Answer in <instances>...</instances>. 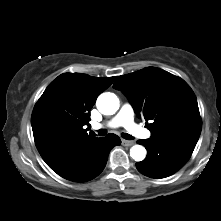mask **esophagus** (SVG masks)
Listing matches in <instances>:
<instances>
[{
  "label": "esophagus",
  "mask_w": 221,
  "mask_h": 221,
  "mask_svg": "<svg viewBox=\"0 0 221 221\" xmlns=\"http://www.w3.org/2000/svg\"><path fill=\"white\" fill-rule=\"evenodd\" d=\"M122 144L124 145V146H132L133 144H134V142L133 141H128V140H122Z\"/></svg>",
  "instance_id": "esophagus-1"
}]
</instances>
